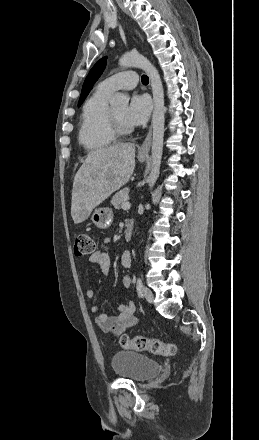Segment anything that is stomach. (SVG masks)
Wrapping results in <instances>:
<instances>
[{
    "label": "stomach",
    "instance_id": "0dacf381",
    "mask_svg": "<svg viewBox=\"0 0 259 440\" xmlns=\"http://www.w3.org/2000/svg\"><path fill=\"white\" fill-rule=\"evenodd\" d=\"M145 159V156H139V161L143 162L145 161ZM91 221L96 227L100 229H106L110 227L113 222L112 209H110L109 207L95 209V211L91 215Z\"/></svg>",
    "mask_w": 259,
    "mask_h": 440
}]
</instances>
